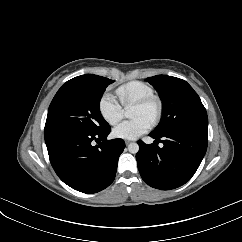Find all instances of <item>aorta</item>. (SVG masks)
<instances>
[{
	"mask_svg": "<svg viewBox=\"0 0 242 242\" xmlns=\"http://www.w3.org/2000/svg\"><path fill=\"white\" fill-rule=\"evenodd\" d=\"M126 116L127 117H131L132 116V114H131V112L129 110L126 111ZM128 151L130 153H132V154H136L139 151V145L137 143H135V142L130 143L128 145Z\"/></svg>",
	"mask_w": 242,
	"mask_h": 242,
	"instance_id": "aorta-1",
	"label": "aorta"
}]
</instances>
